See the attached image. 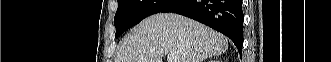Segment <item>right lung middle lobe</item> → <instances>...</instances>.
<instances>
[{"label": "right lung middle lobe", "instance_id": "right-lung-middle-lobe-1", "mask_svg": "<svg viewBox=\"0 0 331 62\" xmlns=\"http://www.w3.org/2000/svg\"><path fill=\"white\" fill-rule=\"evenodd\" d=\"M178 0H118V9L114 18L115 37H119L128 28L138 24L144 18L162 12Z\"/></svg>", "mask_w": 331, "mask_h": 62}]
</instances>
